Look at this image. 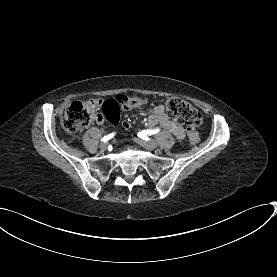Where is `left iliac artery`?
Listing matches in <instances>:
<instances>
[{
	"instance_id": "left-iliac-artery-1",
	"label": "left iliac artery",
	"mask_w": 277,
	"mask_h": 277,
	"mask_svg": "<svg viewBox=\"0 0 277 277\" xmlns=\"http://www.w3.org/2000/svg\"><path fill=\"white\" fill-rule=\"evenodd\" d=\"M160 132V129H148V130H143L141 132H138V137L148 140V136L157 134Z\"/></svg>"
}]
</instances>
